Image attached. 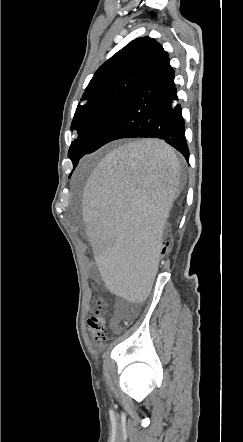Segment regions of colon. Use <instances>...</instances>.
<instances>
[{
  "label": "colon",
  "mask_w": 243,
  "mask_h": 442,
  "mask_svg": "<svg viewBox=\"0 0 243 442\" xmlns=\"http://www.w3.org/2000/svg\"><path fill=\"white\" fill-rule=\"evenodd\" d=\"M170 242L171 239L168 236L163 237L162 243H161V251L157 257L158 262L163 263L165 262L168 253L170 251ZM105 297H110V292H105ZM97 307H99V310L96 312L95 315L91 316L88 320V327L90 334L92 338L95 340L97 344H103L106 341V334H107V323L108 318L105 314L104 307L106 306V302L102 299L97 300L96 302Z\"/></svg>",
  "instance_id": "colon-1"
}]
</instances>
